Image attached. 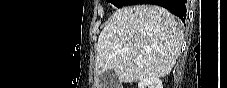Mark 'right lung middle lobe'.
<instances>
[{
  "label": "right lung middle lobe",
  "instance_id": "dd1d6c3e",
  "mask_svg": "<svg viewBox=\"0 0 227 88\" xmlns=\"http://www.w3.org/2000/svg\"><path fill=\"white\" fill-rule=\"evenodd\" d=\"M107 2H111L116 7H121L124 5L136 4L138 0H107Z\"/></svg>",
  "mask_w": 227,
  "mask_h": 88
}]
</instances>
